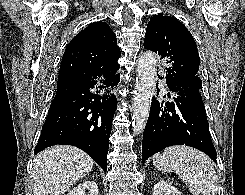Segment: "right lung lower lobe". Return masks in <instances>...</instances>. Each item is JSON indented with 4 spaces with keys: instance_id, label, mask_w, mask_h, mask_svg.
Segmentation results:
<instances>
[{
    "instance_id": "98d812e1",
    "label": "right lung lower lobe",
    "mask_w": 245,
    "mask_h": 195,
    "mask_svg": "<svg viewBox=\"0 0 245 195\" xmlns=\"http://www.w3.org/2000/svg\"><path fill=\"white\" fill-rule=\"evenodd\" d=\"M119 81V74L109 77L108 72L97 70L89 81L57 87L34 154L52 145H72L107 171L109 137L117 106L112 90Z\"/></svg>"
}]
</instances>
